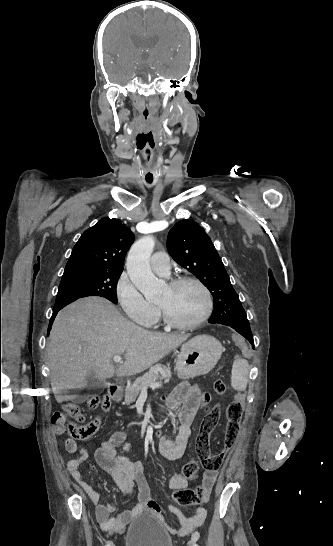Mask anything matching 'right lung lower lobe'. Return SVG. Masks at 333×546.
I'll return each mask as SVG.
<instances>
[{
  "label": "right lung lower lobe",
  "mask_w": 333,
  "mask_h": 546,
  "mask_svg": "<svg viewBox=\"0 0 333 546\" xmlns=\"http://www.w3.org/2000/svg\"><path fill=\"white\" fill-rule=\"evenodd\" d=\"M59 310H60V309H58V310H54V311H53L52 317H51V319H50V324H49V328H48V331H50V330H51V325H52V323H53V320L55 319V316L57 315V313H58V311H59Z\"/></svg>",
  "instance_id": "obj_1"
}]
</instances>
